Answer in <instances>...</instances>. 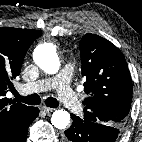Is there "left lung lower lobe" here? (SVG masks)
<instances>
[{
  "label": "left lung lower lobe",
  "mask_w": 142,
  "mask_h": 142,
  "mask_svg": "<svg viewBox=\"0 0 142 142\" xmlns=\"http://www.w3.org/2000/svg\"><path fill=\"white\" fill-rule=\"evenodd\" d=\"M73 123L65 131L66 142H115L119 127L96 122H84L78 116L71 114Z\"/></svg>",
  "instance_id": "0a47b994"
}]
</instances>
